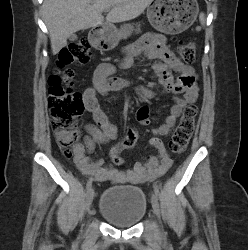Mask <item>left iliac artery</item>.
I'll return each mask as SVG.
<instances>
[{"instance_id":"left-iliac-artery-1","label":"left iliac artery","mask_w":248,"mask_h":250,"mask_svg":"<svg viewBox=\"0 0 248 250\" xmlns=\"http://www.w3.org/2000/svg\"><path fill=\"white\" fill-rule=\"evenodd\" d=\"M153 187H154V192H155L156 196H160V192H159L157 185L154 184Z\"/></svg>"}]
</instances>
